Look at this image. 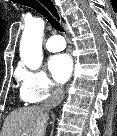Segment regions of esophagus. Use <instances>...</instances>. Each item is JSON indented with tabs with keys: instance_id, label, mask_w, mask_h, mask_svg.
Listing matches in <instances>:
<instances>
[{
	"instance_id": "esophagus-1",
	"label": "esophagus",
	"mask_w": 117,
	"mask_h": 136,
	"mask_svg": "<svg viewBox=\"0 0 117 136\" xmlns=\"http://www.w3.org/2000/svg\"><path fill=\"white\" fill-rule=\"evenodd\" d=\"M45 8L46 6H48L49 9H47L54 18H56L59 22H61V15L60 12L57 8V6L55 5L53 0H38Z\"/></svg>"
}]
</instances>
